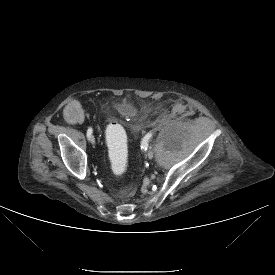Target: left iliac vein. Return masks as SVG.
<instances>
[{
  "label": "left iliac vein",
  "mask_w": 275,
  "mask_h": 275,
  "mask_svg": "<svg viewBox=\"0 0 275 275\" xmlns=\"http://www.w3.org/2000/svg\"><path fill=\"white\" fill-rule=\"evenodd\" d=\"M147 155L149 158H152L154 155V152L152 150H149Z\"/></svg>",
  "instance_id": "4c4485c4"
}]
</instances>
